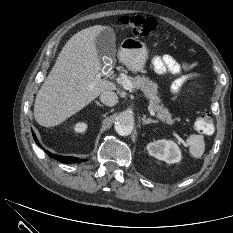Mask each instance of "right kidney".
Wrapping results in <instances>:
<instances>
[{
	"instance_id": "ca27d5eb",
	"label": "right kidney",
	"mask_w": 233,
	"mask_h": 233,
	"mask_svg": "<svg viewBox=\"0 0 233 233\" xmlns=\"http://www.w3.org/2000/svg\"><path fill=\"white\" fill-rule=\"evenodd\" d=\"M87 124L85 122H77L74 125V130L78 133L85 132L87 130Z\"/></svg>"
}]
</instances>
